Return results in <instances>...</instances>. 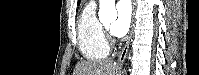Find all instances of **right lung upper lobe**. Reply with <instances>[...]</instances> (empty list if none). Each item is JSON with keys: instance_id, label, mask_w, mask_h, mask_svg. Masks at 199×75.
<instances>
[{"instance_id": "1", "label": "right lung upper lobe", "mask_w": 199, "mask_h": 75, "mask_svg": "<svg viewBox=\"0 0 199 75\" xmlns=\"http://www.w3.org/2000/svg\"><path fill=\"white\" fill-rule=\"evenodd\" d=\"M80 4V0H78V5Z\"/></svg>"}]
</instances>
